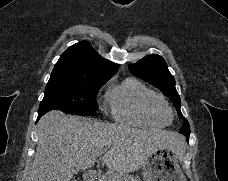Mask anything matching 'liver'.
I'll list each match as a JSON object with an SVG mask.
<instances>
[{
	"label": "liver",
	"instance_id": "1",
	"mask_svg": "<svg viewBox=\"0 0 228 181\" xmlns=\"http://www.w3.org/2000/svg\"><path fill=\"white\" fill-rule=\"evenodd\" d=\"M36 153L29 181H71L74 169L86 171L96 163L97 153L108 149L103 165L116 173H134L145 165L155 149L184 153V137L158 129H132L127 125L100 123L97 119L71 117L50 111L41 117Z\"/></svg>",
	"mask_w": 228,
	"mask_h": 181
}]
</instances>
